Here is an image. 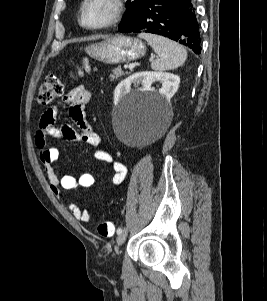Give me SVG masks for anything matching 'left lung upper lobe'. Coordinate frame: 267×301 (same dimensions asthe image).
<instances>
[{
  "label": "left lung upper lobe",
  "instance_id": "1",
  "mask_svg": "<svg viewBox=\"0 0 267 301\" xmlns=\"http://www.w3.org/2000/svg\"><path fill=\"white\" fill-rule=\"evenodd\" d=\"M145 2L146 0H127L126 12L123 15L122 23L119 27L132 22L137 17Z\"/></svg>",
  "mask_w": 267,
  "mask_h": 301
}]
</instances>
